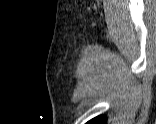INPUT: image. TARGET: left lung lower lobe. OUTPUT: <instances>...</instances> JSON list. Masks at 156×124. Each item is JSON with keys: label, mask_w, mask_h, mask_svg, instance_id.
<instances>
[{"label": "left lung lower lobe", "mask_w": 156, "mask_h": 124, "mask_svg": "<svg viewBox=\"0 0 156 124\" xmlns=\"http://www.w3.org/2000/svg\"><path fill=\"white\" fill-rule=\"evenodd\" d=\"M106 123V118L104 116H98L89 122L87 124H105Z\"/></svg>", "instance_id": "obj_1"}]
</instances>
